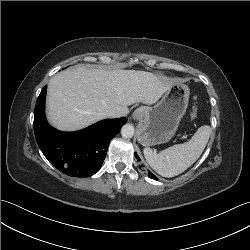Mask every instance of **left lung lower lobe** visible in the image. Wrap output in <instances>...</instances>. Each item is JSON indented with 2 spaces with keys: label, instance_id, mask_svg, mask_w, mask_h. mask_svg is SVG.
Here are the masks:
<instances>
[{
  "label": "left lung lower lobe",
  "instance_id": "obj_1",
  "mask_svg": "<svg viewBox=\"0 0 250 250\" xmlns=\"http://www.w3.org/2000/svg\"><path fill=\"white\" fill-rule=\"evenodd\" d=\"M135 156L137 157V160L140 161L139 157L137 156V153H135ZM148 176L152 179L157 180V178L150 171L148 172Z\"/></svg>",
  "mask_w": 250,
  "mask_h": 250
}]
</instances>
